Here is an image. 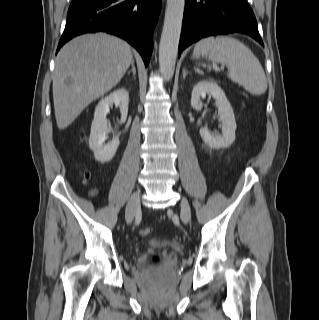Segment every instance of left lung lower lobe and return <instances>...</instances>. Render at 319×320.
Returning a JSON list of instances; mask_svg holds the SVG:
<instances>
[{
  "label": "left lung lower lobe",
  "instance_id": "obj_1",
  "mask_svg": "<svg viewBox=\"0 0 319 320\" xmlns=\"http://www.w3.org/2000/svg\"><path fill=\"white\" fill-rule=\"evenodd\" d=\"M234 32L249 35L264 46L246 0H185L178 55L201 38Z\"/></svg>",
  "mask_w": 319,
  "mask_h": 320
}]
</instances>
